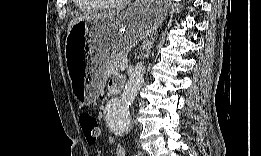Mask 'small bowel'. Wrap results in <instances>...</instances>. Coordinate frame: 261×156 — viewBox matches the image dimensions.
<instances>
[{
	"label": "small bowel",
	"instance_id": "obj_1",
	"mask_svg": "<svg viewBox=\"0 0 261 156\" xmlns=\"http://www.w3.org/2000/svg\"><path fill=\"white\" fill-rule=\"evenodd\" d=\"M123 85V80L120 79V78H115V79H112L110 82H109V91L110 93H113V92H116L117 90H119ZM110 143L111 144H114L115 143V140H110ZM116 153L118 156H124L125 155V150L124 148L120 145V144H117L116 145Z\"/></svg>",
	"mask_w": 261,
	"mask_h": 156
}]
</instances>
